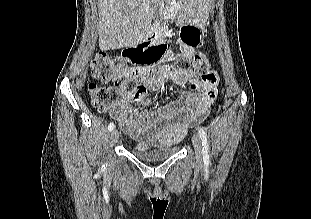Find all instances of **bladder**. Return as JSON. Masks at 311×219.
Wrapping results in <instances>:
<instances>
[{"mask_svg": "<svg viewBox=\"0 0 311 219\" xmlns=\"http://www.w3.org/2000/svg\"><path fill=\"white\" fill-rule=\"evenodd\" d=\"M131 151L141 159L147 161L166 160L179 152V146L165 145L158 148H152L145 143H137L130 146Z\"/></svg>", "mask_w": 311, "mask_h": 219, "instance_id": "obj_1", "label": "bladder"}]
</instances>
